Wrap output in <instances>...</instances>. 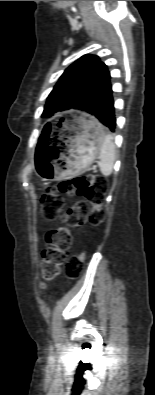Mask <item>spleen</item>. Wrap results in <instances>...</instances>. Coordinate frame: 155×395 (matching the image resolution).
I'll use <instances>...</instances> for the list:
<instances>
[{"label": "spleen", "mask_w": 155, "mask_h": 395, "mask_svg": "<svg viewBox=\"0 0 155 395\" xmlns=\"http://www.w3.org/2000/svg\"><path fill=\"white\" fill-rule=\"evenodd\" d=\"M116 148L110 134L104 136L100 148V171L104 176H109L113 171Z\"/></svg>", "instance_id": "obj_1"}]
</instances>
